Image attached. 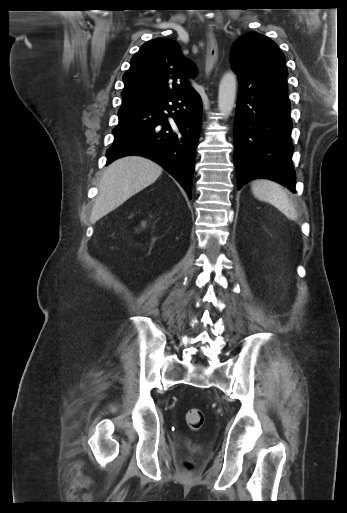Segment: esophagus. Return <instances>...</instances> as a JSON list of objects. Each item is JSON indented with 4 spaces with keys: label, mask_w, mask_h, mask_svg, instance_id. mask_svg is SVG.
I'll use <instances>...</instances> for the list:
<instances>
[{
    "label": "esophagus",
    "mask_w": 347,
    "mask_h": 513,
    "mask_svg": "<svg viewBox=\"0 0 347 513\" xmlns=\"http://www.w3.org/2000/svg\"><path fill=\"white\" fill-rule=\"evenodd\" d=\"M207 38V51H206V64L205 72L207 75L211 73L218 60V48L215 40L213 30L209 27L206 32Z\"/></svg>",
    "instance_id": "34e87169"
}]
</instances>
